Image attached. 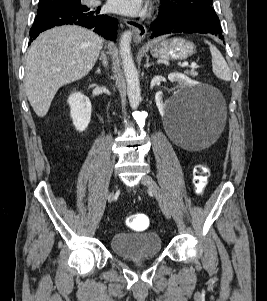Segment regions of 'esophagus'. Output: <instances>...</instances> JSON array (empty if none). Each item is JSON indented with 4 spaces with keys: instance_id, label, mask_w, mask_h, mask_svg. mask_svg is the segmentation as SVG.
<instances>
[{
    "instance_id": "1",
    "label": "esophagus",
    "mask_w": 267,
    "mask_h": 301,
    "mask_svg": "<svg viewBox=\"0 0 267 301\" xmlns=\"http://www.w3.org/2000/svg\"><path fill=\"white\" fill-rule=\"evenodd\" d=\"M124 23L133 30V32H134V36H133L134 42L138 43V42H140L141 40L144 39V37L146 36V33H147V29L141 22L135 21V20L125 19Z\"/></svg>"
}]
</instances>
